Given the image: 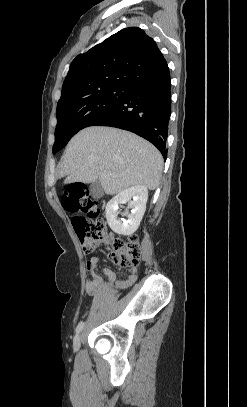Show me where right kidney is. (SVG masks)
I'll list each match as a JSON object with an SVG mask.
<instances>
[{"label": "right kidney", "instance_id": "obj_1", "mask_svg": "<svg viewBox=\"0 0 247 407\" xmlns=\"http://www.w3.org/2000/svg\"><path fill=\"white\" fill-rule=\"evenodd\" d=\"M148 189L145 186H131L114 196L106 205L105 216L109 227L119 235H131L139 227L146 210ZM128 204L126 220L117 219L119 205Z\"/></svg>", "mask_w": 247, "mask_h": 407}]
</instances>
